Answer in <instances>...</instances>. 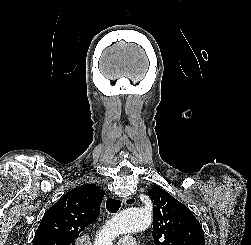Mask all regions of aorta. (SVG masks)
<instances>
[{
  "label": "aorta",
  "mask_w": 251,
  "mask_h": 245,
  "mask_svg": "<svg viewBox=\"0 0 251 245\" xmlns=\"http://www.w3.org/2000/svg\"><path fill=\"white\" fill-rule=\"evenodd\" d=\"M151 222L150 211L142 208H128L106 223L95 245H112L116 237L145 230Z\"/></svg>",
  "instance_id": "762f6f07"
}]
</instances>
